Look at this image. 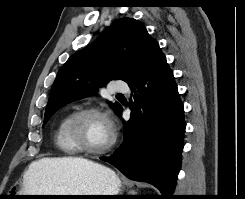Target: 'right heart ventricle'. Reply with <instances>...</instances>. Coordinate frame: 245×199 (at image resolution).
Listing matches in <instances>:
<instances>
[{
    "label": "right heart ventricle",
    "mask_w": 245,
    "mask_h": 199,
    "mask_svg": "<svg viewBox=\"0 0 245 199\" xmlns=\"http://www.w3.org/2000/svg\"><path fill=\"white\" fill-rule=\"evenodd\" d=\"M71 113L64 116L54 131V141L57 148L66 156H74L78 153L66 134V127Z\"/></svg>",
    "instance_id": "e07e8e85"
}]
</instances>
